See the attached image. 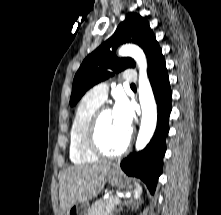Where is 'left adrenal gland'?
I'll return each mask as SVG.
<instances>
[{
	"mask_svg": "<svg viewBox=\"0 0 221 215\" xmlns=\"http://www.w3.org/2000/svg\"><path fill=\"white\" fill-rule=\"evenodd\" d=\"M133 203V199H129V200H124L120 205L119 208L116 210V212H120L121 210H123V206H130Z\"/></svg>",
	"mask_w": 221,
	"mask_h": 215,
	"instance_id": "left-adrenal-gland-1",
	"label": "left adrenal gland"
}]
</instances>
